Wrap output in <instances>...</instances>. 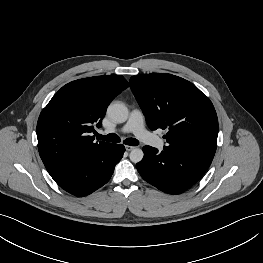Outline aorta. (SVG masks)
Listing matches in <instances>:
<instances>
[{
  "instance_id": "aorta-1",
  "label": "aorta",
  "mask_w": 263,
  "mask_h": 263,
  "mask_svg": "<svg viewBox=\"0 0 263 263\" xmlns=\"http://www.w3.org/2000/svg\"><path fill=\"white\" fill-rule=\"evenodd\" d=\"M107 114L114 122L123 123L128 119L129 111L124 103L116 101L108 106ZM129 157L133 163H138L143 159L144 153L142 149L134 148L131 150Z\"/></svg>"
}]
</instances>
